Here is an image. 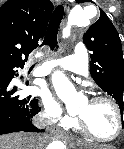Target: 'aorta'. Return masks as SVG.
I'll return each instance as SVG.
<instances>
[{
  "instance_id": "aorta-1",
  "label": "aorta",
  "mask_w": 124,
  "mask_h": 149,
  "mask_svg": "<svg viewBox=\"0 0 124 149\" xmlns=\"http://www.w3.org/2000/svg\"><path fill=\"white\" fill-rule=\"evenodd\" d=\"M89 24V19L87 18L85 12L81 9H73L70 12L68 18V28L71 26L84 27ZM53 83L56 88L57 93L60 97L72 100L76 95V91L72 84L67 80V78L62 73H56L53 76ZM48 149H64V145L60 141H53Z\"/></svg>"
}]
</instances>
